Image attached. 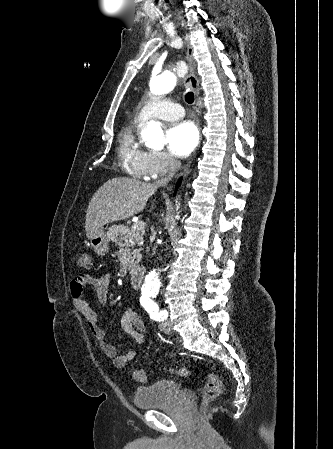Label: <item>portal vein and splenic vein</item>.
<instances>
[{
  "instance_id": "portal-vein-and-splenic-vein-1",
  "label": "portal vein and splenic vein",
  "mask_w": 333,
  "mask_h": 449,
  "mask_svg": "<svg viewBox=\"0 0 333 449\" xmlns=\"http://www.w3.org/2000/svg\"><path fill=\"white\" fill-rule=\"evenodd\" d=\"M144 228H145V224H144V222H136L133 226H132V229L134 230V231H143L144 230Z\"/></svg>"
}]
</instances>
